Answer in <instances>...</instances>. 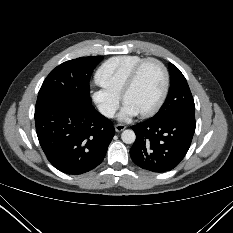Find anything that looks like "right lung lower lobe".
Wrapping results in <instances>:
<instances>
[{
	"label": "right lung lower lobe",
	"mask_w": 233,
	"mask_h": 233,
	"mask_svg": "<svg viewBox=\"0 0 233 233\" xmlns=\"http://www.w3.org/2000/svg\"><path fill=\"white\" fill-rule=\"evenodd\" d=\"M39 143L49 162L66 174H83L104 159L113 123L91 104L56 102L35 110Z\"/></svg>",
	"instance_id": "obj_1"
}]
</instances>
